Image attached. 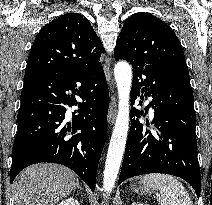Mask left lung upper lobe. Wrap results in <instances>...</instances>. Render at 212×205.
<instances>
[{
  "mask_svg": "<svg viewBox=\"0 0 212 205\" xmlns=\"http://www.w3.org/2000/svg\"><path fill=\"white\" fill-rule=\"evenodd\" d=\"M114 57L125 59L132 67L164 63L188 71L181 44L174 31L149 13H135L121 30Z\"/></svg>",
  "mask_w": 212,
  "mask_h": 205,
  "instance_id": "left-lung-upper-lobe-1",
  "label": "left lung upper lobe"
}]
</instances>
